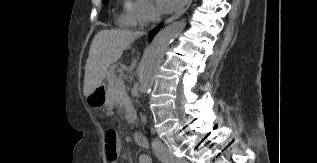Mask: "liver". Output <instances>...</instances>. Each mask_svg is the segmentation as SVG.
Segmentation results:
<instances>
[{
    "label": "liver",
    "instance_id": "6515ba94",
    "mask_svg": "<svg viewBox=\"0 0 317 163\" xmlns=\"http://www.w3.org/2000/svg\"><path fill=\"white\" fill-rule=\"evenodd\" d=\"M140 32L128 30H101L93 38L85 66L83 94L90 95L102 85L107 69L116 62L123 51L140 37Z\"/></svg>",
    "mask_w": 317,
    "mask_h": 163
}]
</instances>
